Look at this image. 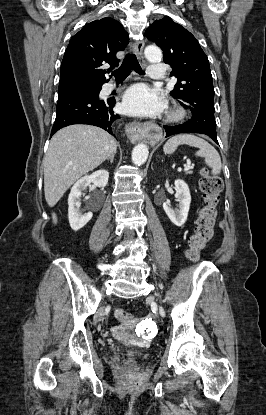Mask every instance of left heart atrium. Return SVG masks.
<instances>
[{"label":"left heart atrium","mask_w":266,"mask_h":415,"mask_svg":"<svg viewBox=\"0 0 266 415\" xmlns=\"http://www.w3.org/2000/svg\"><path fill=\"white\" fill-rule=\"evenodd\" d=\"M165 102L159 92L145 84L130 87L123 97V109L137 116H152L163 111Z\"/></svg>","instance_id":"obj_1"}]
</instances>
